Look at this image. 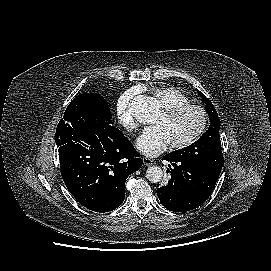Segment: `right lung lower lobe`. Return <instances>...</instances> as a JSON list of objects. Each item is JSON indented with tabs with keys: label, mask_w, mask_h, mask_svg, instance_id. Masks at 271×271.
Returning a JSON list of instances; mask_svg holds the SVG:
<instances>
[{
	"label": "right lung lower lobe",
	"mask_w": 271,
	"mask_h": 271,
	"mask_svg": "<svg viewBox=\"0 0 271 271\" xmlns=\"http://www.w3.org/2000/svg\"><path fill=\"white\" fill-rule=\"evenodd\" d=\"M55 142L62 178L81 205L102 213L123 203L126 179L141 168L142 159L119 129L61 119Z\"/></svg>",
	"instance_id": "obj_1"
}]
</instances>
